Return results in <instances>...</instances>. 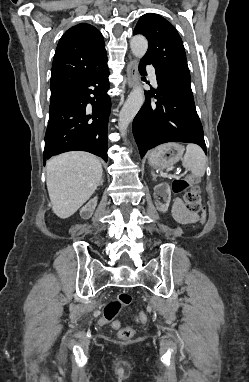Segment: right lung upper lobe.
I'll return each mask as SVG.
<instances>
[{
  "label": "right lung upper lobe",
  "instance_id": "1",
  "mask_svg": "<svg viewBox=\"0 0 249 382\" xmlns=\"http://www.w3.org/2000/svg\"><path fill=\"white\" fill-rule=\"evenodd\" d=\"M106 57L103 36L95 27L81 23L67 30L53 59L51 101L78 85Z\"/></svg>",
  "mask_w": 249,
  "mask_h": 382
}]
</instances>
